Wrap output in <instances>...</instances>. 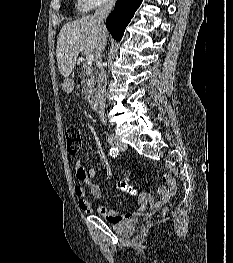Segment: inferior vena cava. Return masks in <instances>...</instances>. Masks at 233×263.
<instances>
[{
	"instance_id": "obj_1",
	"label": "inferior vena cava",
	"mask_w": 233,
	"mask_h": 263,
	"mask_svg": "<svg viewBox=\"0 0 233 263\" xmlns=\"http://www.w3.org/2000/svg\"><path fill=\"white\" fill-rule=\"evenodd\" d=\"M114 4L115 0H105L92 16L98 30V41L95 49V58L98 75L97 97L100 109V118L102 121L104 120V108L106 102V74L102 65V52L105 49L107 39V29L105 27L104 21L110 14Z\"/></svg>"
}]
</instances>
